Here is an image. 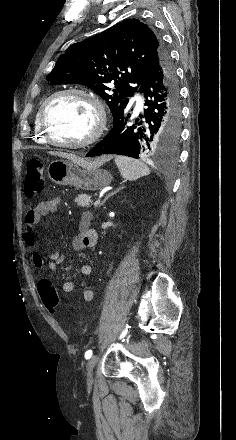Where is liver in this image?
Listing matches in <instances>:
<instances>
[{
    "label": "liver",
    "mask_w": 236,
    "mask_h": 440,
    "mask_svg": "<svg viewBox=\"0 0 236 440\" xmlns=\"http://www.w3.org/2000/svg\"><path fill=\"white\" fill-rule=\"evenodd\" d=\"M49 154L55 155V156H58V157H62V158H67V159L73 160L75 162H78L82 166H89V167H93V168L100 167L101 165H103L106 161H108L112 157V156H104V157L96 159L95 161L87 162L84 159H82V158H80V157H78V156H76L75 154H72V153H64V152H54V151H51V152H49Z\"/></svg>",
    "instance_id": "1"
}]
</instances>
